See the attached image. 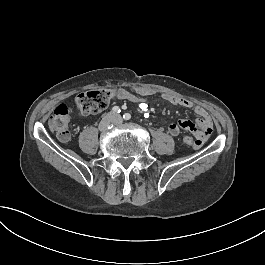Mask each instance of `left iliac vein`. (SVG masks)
Listing matches in <instances>:
<instances>
[{
	"label": "left iliac vein",
	"instance_id": "obj_1",
	"mask_svg": "<svg viewBox=\"0 0 265 265\" xmlns=\"http://www.w3.org/2000/svg\"><path fill=\"white\" fill-rule=\"evenodd\" d=\"M122 117L120 115H113V123L115 124H121L122 123Z\"/></svg>",
	"mask_w": 265,
	"mask_h": 265
}]
</instances>
